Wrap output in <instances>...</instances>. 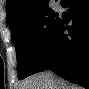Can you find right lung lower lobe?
I'll return each mask as SVG.
<instances>
[{
    "instance_id": "1",
    "label": "right lung lower lobe",
    "mask_w": 89,
    "mask_h": 89,
    "mask_svg": "<svg viewBox=\"0 0 89 89\" xmlns=\"http://www.w3.org/2000/svg\"><path fill=\"white\" fill-rule=\"evenodd\" d=\"M69 7V20H60L37 72L50 68L83 87L89 76V9L85 0H61ZM72 26H66L68 22ZM36 72V73H37Z\"/></svg>"
}]
</instances>
